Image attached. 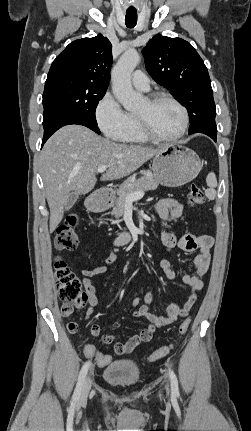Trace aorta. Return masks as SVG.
<instances>
[{
	"label": "aorta",
	"instance_id": "1",
	"mask_svg": "<svg viewBox=\"0 0 251 431\" xmlns=\"http://www.w3.org/2000/svg\"><path fill=\"white\" fill-rule=\"evenodd\" d=\"M140 61L135 49L126 50L112 69V90L117 100L126 110L140 106L141 98L131 85V73Z\"/></svg>",
	"mask_w": 251,
	"mask_h": 431
}]
</instances>
